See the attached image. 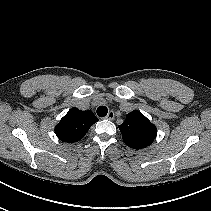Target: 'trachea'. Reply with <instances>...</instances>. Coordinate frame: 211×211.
Segmentation results:
<instances>
[{
    "instance_id": "trachea-1",
    "label": "trachea",
    "mask_w": 211,
    "mask_h": 211,
    "mask_svg": "<svg viewBox=\"0 0 211 211\" xmlns=\"http://www.w3.org/2000/svg\"><path fill=\"white\" fill-rule=\"evenodd\" d=\"M107 112H108V109H107L106 106H99V107L97 108V115H98L99 117H104V116H106V115H107Z\"/></svg>"
}]
</instances>
